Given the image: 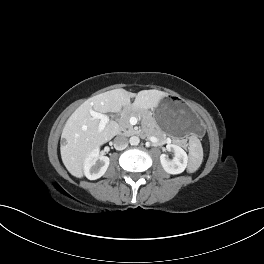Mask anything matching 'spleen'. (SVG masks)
<instances>
[{
    "label": "spleen",
    "instance_id": "obj_1",
    "mask_svg": "<svg viewBox=\"0 0 264 264\" xmlns=\"http://www.w3.org/2000/svg\"><path fill=\"white\" fill-rule=\"evenodd\" d=\"M203 160V149L196 136L191 137L189 172H195Z\"/></svg>",
    "mask_w": 264,
    "mask_h": 264
}]
</instances>
